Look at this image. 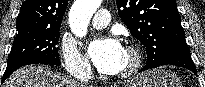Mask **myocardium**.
<instances>
[{"instance_id": "f54148a6", "label": "myocardium", "mask_w": 205, "mask_h": 87, "mask_svg": "<svg viewBox=\"0 0 205 87\" xmlns=\"http://www.w3.org/2000/svg\"><path fill=\"white\" fill-rule=\"evenodd\" d=\"M125 50L129 53L131 60L128 66L119 72V77H130L134 75L142 64V54L136 46L128 45Z\"/></svg>"}]
</instances>
